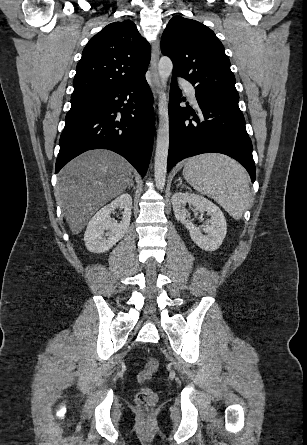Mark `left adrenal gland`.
I'll list each match as a JSON object with an SVG mask.
<instances>
[{"label":"left adrenal gland","mask_w":307,"mask_h":445,"mask_svg":"<svg viewBox=\"0 0 307 445\" xmlns=\"http://www.w3.org/2000/svg\"><path fill=\"white\" fill-rule=\"evenodd\" d=\"M178 180H179V182H178L177 186H179V184H182V186H186V184H183L181 178H178Z\"/></svg>","instance_id":"obj_1"}]
</instances>
